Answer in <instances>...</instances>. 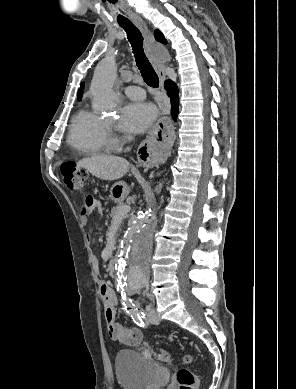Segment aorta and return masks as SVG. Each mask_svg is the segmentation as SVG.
<instances>
[{
  "label": "aorta",
  "mask_w": 296,
  "mask_h": 389,
  "mask_svg": "<svg viewBox=\"0 0 296 389\" xmlns=\"http://www.w3.org/2000/svg\"><path fill=\"white\" fill-rule=\"evenodd\" d=\"M116 77L117 66L112 58L104 59L95 69L91 92L94 102L103 109L114 110L117 106ZM157 221L156 212L148 208L129 227L116 254L118 287L137 292L148 284Z\"/></svg>",
  "instance_id": "aorta-1"
}]
</instances>
